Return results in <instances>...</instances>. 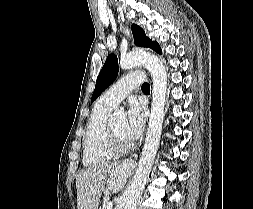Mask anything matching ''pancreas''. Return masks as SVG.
<instances>
[{
  "label": "pancreas",
  "mask_w": 253,
  "mask_h": 209,
  "mask_svg": "<svg viewBox=\"0 0 253 209\" xmlns=\"http://www.w3.org/2000/svg\"><path fill=\"white\" fill-rule=\"evenodd\" d=\"M108 204H109V196H105V197L103 198L102 209H107Z\"/></svg>",
  "instance_id": "1"
}]
</instances>
